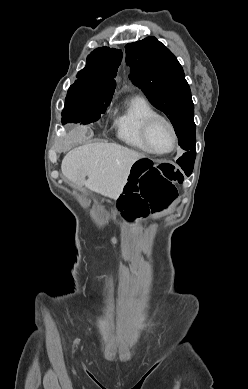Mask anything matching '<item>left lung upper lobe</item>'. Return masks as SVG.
<instances>
[{
    "mask_svg": "<svg viewBox=\"0 0 248 389\" xmlns=\"http://www.w3.org/2000/svg\"><path fill=\"white\" fill-rule=\"evenodd\" d=\"M125 48L131 81L170 119L180 147L194 150L195 135L189 134L185 126L194 117V104L177 58L152 36L129 43Z\"/></svg>",
    "mask_w": 248,
    "mask_h": 389,
    "instance_id": "left-lung-upper-lobe-1",
    "label": "left lung upper lobe"
}]
</instances>
